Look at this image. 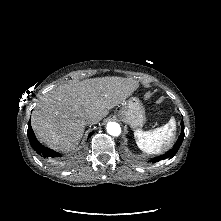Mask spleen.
<instances>
[{"label": "spleen", "instance_id": "3e777b00", "mask_svg": "<svg viewBox=\"0 0 221 221\" xmlns=\"http://www.w3.org/2000/svg\"><path fill=\"white\" fill-rule=\"evenodd\" d=\"M176 122L172 117L167 124L150 131H135L138 147L147 154H157L171 145L175 136Z\"/></svg>", "mask_w": 221, "mask_h": 221}]
</instances>
